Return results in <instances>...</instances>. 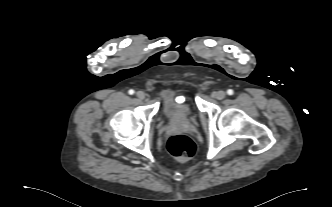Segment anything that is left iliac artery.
<instances>
[{
    "mask_svg": "<svg viewBox=\"0 0 332 207\" xmlns=\"http://www.w3.org/2000/svg\"><path fill=\"white\" fill-rule=\"evenodd\" d=\"M233 93H234V91H233L232 89H228V90H227V94H228V95H233Z\"/></svg>",
    "mask_w": 332,
    "mask_h": 207,
    "instance_id": "left-iliac-artery-1",
    "label": "left iliac artery"
}]
</instances>
